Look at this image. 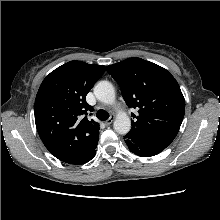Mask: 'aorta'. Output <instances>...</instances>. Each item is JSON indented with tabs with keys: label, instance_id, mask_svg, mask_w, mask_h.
<instances>
[{
	"label": "aorta",
	"instance_id": "762f6f07",
	"mask_svg": "<svg viewBox=\"0 0 220 220\" xmlns=\"http://www.w3.org/2000/svg\"><path fill=\"white\" fill-rule=\"evenodd\" d=\"M94 95L105 104L115 103V90L113 85L108 81H100L94 87ZM114 129L117 133L125 135L131 129V121L125 112H119L114 121Z\"/></svg>",
	"mask_w": 220,
	"mask_h": 220
}]
</instances>
